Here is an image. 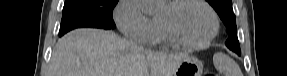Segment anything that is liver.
<instances>
[{"label":"liver","instance_id":"liver-1","mask_svg":"<svg viewBox=\"0 0 287 76\" xmlns=\"http://www.w3.org/2000/svg\"><path fill=\"white\" fill-rule=\"evenodd\" d=\"M187 56L154 52L111 31L82 28L57 41L49 76H173Z\"/></svg>","mask_w":287,"mask_h":76}]
</instances>
